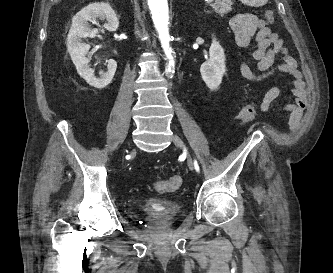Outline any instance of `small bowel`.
<instances>
[{
    "mask_svg": "<svg viewBox=\"0 0 333 273\" xmlns=\"http://www.w3.org/2000/svg\"><path fill=\"white\" fill-rule=\"evenodd\" d=\"M230 27L236 43L242 48L253 45L252 58L254 66L241 62L238 67L240 75L251 82H261L276 71L284 72L291 77L289 82L293 102L286 108L290 111L293 122L299 118L300 110L304 107L303 81L294 57L284 46L283 40L271 30L268 23L251 12H236L230 18ZM281 55V62L277 57ZM279 87L270 88L258 102L260 111H267L271 104L281 95Z\"/></svg>",
    "mask_w": 333,
    "mask_h": 273,
    "instance_id": "1",
    "label": "small bowel"
}]
</instances>
